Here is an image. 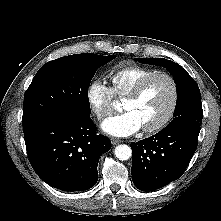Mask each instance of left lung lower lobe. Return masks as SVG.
Instances as JSON below:
<instances>
[{
  "mask_svg": "<svg viewBox=\"0 0 221 221\" xmlns=\"http://www.w3.org/2000/svg\"><path fill=\"white\" fill-rule=\"evenodd\" d=\"M200 126L196 122L174 124L132 143L134 185L153 191L180 178L196 151Z\"/></svg>",
  "mask_w": 221,
  "mask_h": 221,
  "instance_id": "left-lung-lower-lobe-1",
  "label": "left lung lower lobe"
}]
</instances>
